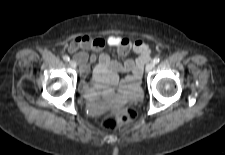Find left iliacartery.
<instances>
[{
    "label": "left iliac artery",
    "instance_id": "left-iliac-artery-1",
    "mask_svg": "<svg viewBox=\"0 0 225 155\" xmlns=\"http://www.w3.org/2000/svg\"><path fill=\"white\" fill-rule=\"evenodd\" d=\"M159 58H155L154 60H153V62H154V64H157V63H159Z\"/></svg>",
    "mask_w": 225,
    "mask_h": 155
}]
</instances>
